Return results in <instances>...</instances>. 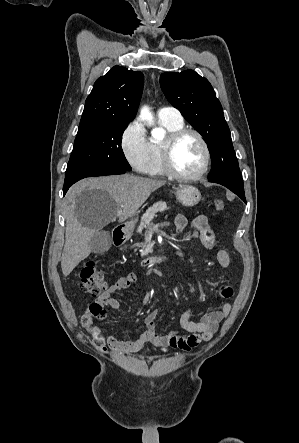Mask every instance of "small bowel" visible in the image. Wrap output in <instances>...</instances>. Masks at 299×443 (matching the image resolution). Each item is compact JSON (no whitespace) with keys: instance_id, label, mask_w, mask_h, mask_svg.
<instances>
[{"instance_id":"obj_1","label":"small bowel","mask_w":299,"mask_h":443,"mask_svg":"<svg viewBox=\"0 0 299 443\" xmlns=\"http://www.w3.org/2000/svg\"><path fill=\"white\" fill-rule=\"evenodd\" d=\"M174 224L177 232L181 233L187 227L188 220L184 215L178 214L175 217ZM192 226L193 231L190 237L199 238L207 249H216V258L220 266L229 268L231 266L230 255L217 242L207 217L205 215L196 216L192 221ZM135 281L136 275L134 273L118 278L96 298L95 303L118 310L120 308V302L112 295L117 291L128 288ZM233 294V288L230 284H222L219 288V295L222 298L219 307L205 313L199 321H193V310L187 309L180 317L182 333L174 331L165 334L159 333L156 326V318L159 310L154 309L149 312L144 319L145 331L133 335L128 340H118L116 337L110 335L106 337L103 342L117 354L138 352L147 342L162 349L175 348L189 352L202 342H208L213 338L220 322L224 320L231 311V304L228 300L233 297ZM81 322L85 327L92 328L93 318L90 312L82 316Z\"/></svg>"}]
</instances>
